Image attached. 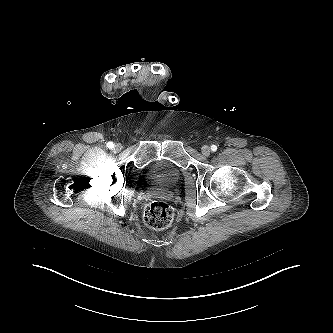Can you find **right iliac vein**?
Listing matches in <instances>:
<instances>
[{
	"mask_svg": "<svg viewBox=\"0 0 333 333\" xmlns=\"http://www.w3.org/2000/svg\"><path fill=\"white\" fill-rule=\"evenodd\" d=\"M121 149H122V146H121L120 144H116V145L114 146V148H113V150H114L115 152H119V151H121Z\"/></svg>",
	"mask_w": 333,
	"mask_h": 333,
	"instance_id": "right-iliac-vein-1",
	"label": "right iliac vein"
}]
</instances>
